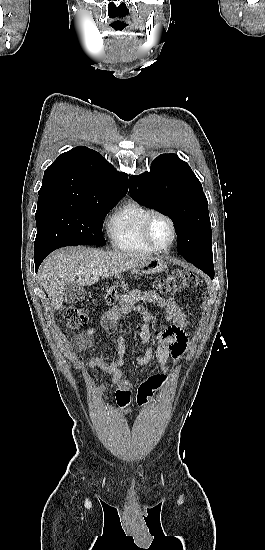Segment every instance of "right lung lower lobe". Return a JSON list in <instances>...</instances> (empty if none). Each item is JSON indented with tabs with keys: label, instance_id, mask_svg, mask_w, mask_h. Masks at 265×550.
I'll return each mask as SVG.
<instances>
[{
	"label": "right lung lower lobe",
	"instance_id": "right-lung-lower-lobe-1",
	"mask_svg": "<svg viewBox=\"0 0 265 550\" xmlns=\"http://www.w3.org/2000/svg\"><path fill=\"white\" fill-rule=\"evenodd\" d=\"M48 254H34L35 270L37 271L41 262Z\"/></svg>",
	"mask_w": 265,
	"mask_h": 550
}]
</instances>
